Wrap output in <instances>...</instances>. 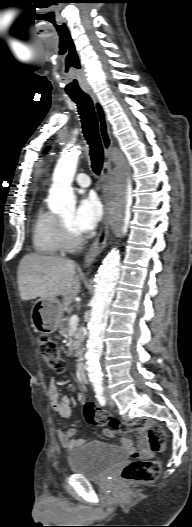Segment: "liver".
<instances>
[{
  "mask_svg": "<svg viewBox=\"0 0 192 527\" xmlns=\"http://www.w3.org/2000/svg\"><path fill=\"white\" fill-rule=\"evenodd\" d=\"M75 268V262L67 258L35 253L25 255L18 267L21 299H55L61 295L62 306H69L81 287V274L76 275Z\"/></svg>",
  "mask_w": 192,
  "mask_h": 527,
  "instance_id": "1",
  "label": "liver"
}]
</instances>
